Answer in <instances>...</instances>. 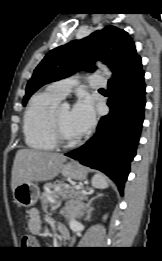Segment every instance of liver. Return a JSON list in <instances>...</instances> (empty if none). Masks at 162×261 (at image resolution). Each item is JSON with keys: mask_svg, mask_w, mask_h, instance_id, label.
<instances>
[{"mask_svg": "<svg viewBox=\"0 0 162 261\" xmlns=\"http://www.w3.org/2000/svg\"><path fill=\"white\" fill-rule=\"evenodd\" d=\"M66 159L63 154L32 149L18 150L12 167V191L22 183L52 180L59 174Z\"/></svg>", "mask_w": 162, "mask_h": 261, "instance_id": "1", "label": "liver"}]
</instances>
